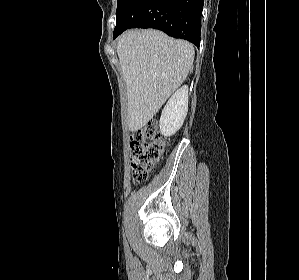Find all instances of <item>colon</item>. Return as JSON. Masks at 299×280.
Here are the masks:
<instances>
[{"label":"colon","mask_w":299,"mask_h":280,"mask_svg":"<svg viewBox=\"0 0 299 280\" xmlns=\"http://www.w3.org/2000/svg\"><path fill=\"white\" fill-rule=\"evenodd\" d=\"M166 139L161 134L156 121H150L131 137V165L133 180L136 183L147 180L149 174L161 161Z\"/></svg>","instance_id":"1"}]
</instances>
